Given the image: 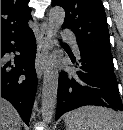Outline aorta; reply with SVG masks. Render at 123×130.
<instances>
[{
    "mask_svg": "<svg viewBox=\"0 0 123 130\" xmlns=\"http://www.w3.org/2000/svg\"><path fill=\"white\" fill-rule=\"evenodd\" d=\"M65 18V10L62 7L56 6L49 12V27L52 38L56 37L57 32L61 28ZM55 40L53 41V44ZM58 62L54 52L47 58L46 67L44 70L43 86H42V120L45 124L49 123L54 115L57 90H58Z\"/></svg>",
    "mask_w": 123,
    "mask_h": 130,
    "instance_id": "1",
    "label": "aorta"
}]
</instances>
